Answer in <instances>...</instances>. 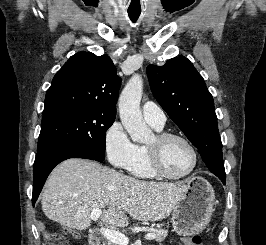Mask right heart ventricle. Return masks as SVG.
I'll use <instances>...</instances> for the list:
<instances>
[{
    "mask_svg": "<svg viewBox=\"0 0 266 245\" xmlns=\"http://www.w3.org/2000/svg\"><path fill=\"white\" fill-rule=\"evenodd\" d=\"M152 126L157 130L162 129V127L160 128L154 125ZM131 173L134 177L145 181H152L157 179V177L150 168L145 147H140L138 159L134 167L132 168Z\"/></svg>",
    "mask_w": 266,
    "mask_h": 245,
    "instance_id": "1",
    "label": "right heart ventricle"
}]
</instances>
